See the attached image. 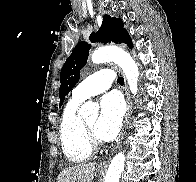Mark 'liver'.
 <instances>
[{
    "instance_id": "obj_1",
    "label": "liver",
    "mask_w": 196,
    "mask_h": 182,
    "mask_svg": "<svg viewBox=\"0 0 196 182\" xmlns=\"http://www.w3.org/2000/svg\"><path fill=\"white\" fill-rule=\"evenodd\" d=\"M96 163H82L63 169L57 182H92Z\"/></svg>"
}]
</instances>
